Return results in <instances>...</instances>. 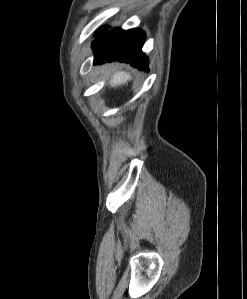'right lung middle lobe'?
Segmentation results:
<instances>
[{"mask_svg": "<svg viewBox=\"0 0 247 299\" xmlns=\"http://www.w3.org/2000/svg\"><path fill=\"white\" fill-rule=\"evenodd\" d=\"M103 30H106V29L105 28H101L100 30H98V33L101 32V31H103Z\"/></svg>", "mask_w": 247, "mask_h": 299, "instance_id": "dd1d6c3e", "label": "right lung middle lobe"}]
</instances>
